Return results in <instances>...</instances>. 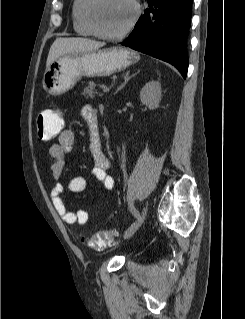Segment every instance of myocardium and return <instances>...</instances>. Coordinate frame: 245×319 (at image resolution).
<instances>
[{
	"mask_svg": "<svg viewBox=\"0 0 245 319\" xmlns=\"http://www.w3.org/2000/svg\"><path fill=\"white\" fill-rule=\"evenodd\" d=\"M100 0H87L85 5V18L96 36L107 40H118L125 37L135 26L140 16V6L137 0H129L133 7V16L127 26L117 33H107L98 25L95 18V8Z\"/></svg>",
	"mask_w": 245,
	"mask_h": 319,
	"instance_id": "obj_1",
	"label": "myocardium"
}]
</instances>
